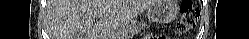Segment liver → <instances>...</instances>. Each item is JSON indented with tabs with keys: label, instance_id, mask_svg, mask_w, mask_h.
Instances as JSON below:
<instances>
[{
	"label": "liver",
	"instance_id": "6515ba94",
	"mask_svg": "<svg viewBox=\"0 0 249 39\" xmlns=\"http://www.w3.org/2000/svg\"><path fill=\"white\" fill-rule=\"evenodd\" d=\"M156 1L52 0L47 5L49 33L51 39H115Z\"/></svg>",
	"mask_w": 249,
	"mask_h": 39
}]
</instances>
